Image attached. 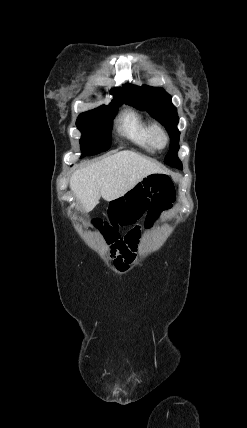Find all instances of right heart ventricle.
Masks as SVG:
<instances>
[{
  "mask_svg": "<svg viewBox=\"0 0 247 428\" xmlns=\"http://www.w3.org/2000/svg\"><path fill=\"white\" fill-rule=\"evenodd\" d=\"M122 129L125 136L133 143L148 151H154V145L150 135V125L134 110L127 111L122 118Z\"/></svg>",
  "mask_w": 247,
  "mask_h": 428,
  "instance_id": "1",
  "label": "right heart ventricle"
}]
</instances>
